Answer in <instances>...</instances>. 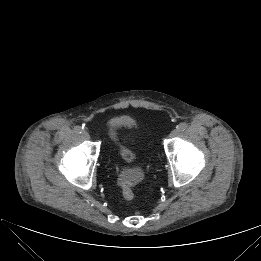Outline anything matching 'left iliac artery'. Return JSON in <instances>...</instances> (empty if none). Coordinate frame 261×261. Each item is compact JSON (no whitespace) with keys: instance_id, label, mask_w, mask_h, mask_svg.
Segmentation results:
<instances>
[{"instance_id":"1","label":"left iliac artery","mask_w":261,"mask_h":261,"mask_svg":"<svg viewBox=\"0 0 261 261\" xmlns=\"http://www.w3.org/2000/svg\"><path fill=\"white\" fill-rule=\"evenodd\" d=\"M177 129L179 131H185L187 129V123L185 122L180 123L179 125H177Z\"/></svg>"}]
</instances>
